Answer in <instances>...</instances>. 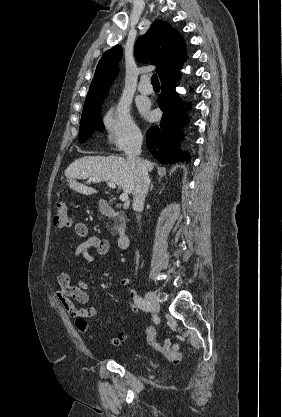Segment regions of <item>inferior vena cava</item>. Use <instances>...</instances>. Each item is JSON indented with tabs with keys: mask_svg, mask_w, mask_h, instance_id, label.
<instances>
[{
	"mask_svg": "<svg viewBox=\"0 0 282 417\" xmlns=\"http://www.w3.org/2000/svg\"><path fill=\"white\" fill-rule=\"evenodd\" d=\"M143 144V136L140 130H131L129 142L124 148L127 160L135 164V186L133 188V202L134 211H141L143 209L144 200L148 192L150 182L148 168L144 160L138 158L141 154ZM139 219V217H138Z\"/></svg>",
	"mask_w": 282,
	"mask_h": 417,
	"instance_id": "obj_1",
	"label": "inferior vena cava"
}]
</instances>
